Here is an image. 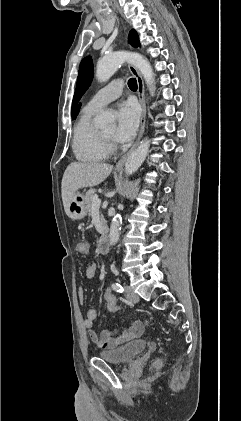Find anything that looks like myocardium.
I'll return each mask as SVG.
<instances>
[{
  "label": "myocardium",
  "mask_w": 241,
  "mask_h": 421,
  "mask_svg": "<svg viewBox=\"0 0 241 421\" xmlns=\"http://www.w3.org/2000/svg\"><path fill=\"white\" fill-rule=\"evenodd\" d=\"M102 137H103L104 141L106 142V144H107L108 148L110 149V151L111 150H114L115 149V144L113 142V138L105 135L104 133H102Z\"/></svg>",
  "instance_id": "myocardium-1"
}]
</instances>
